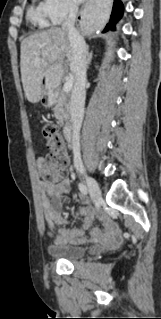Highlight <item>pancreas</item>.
<instances>
[{"mask_svg": "<svg viewBox=\"0 0 161 319\" xmlns=\"http://www.w3.org/2000/svg\"><path fill=\"white\" fill-rule=\"evenodd\" d=\"M55 107L53 108L54 116L60 124H65L69 120V110L67 105V95L64 90L60 91L55 97Z\"/></svg>", "mask_w": 161, "mask_h": 319, "instance_id": "pancreas-1", "label": "pancreas"}]
</instances>
